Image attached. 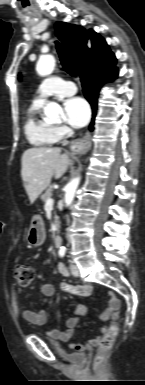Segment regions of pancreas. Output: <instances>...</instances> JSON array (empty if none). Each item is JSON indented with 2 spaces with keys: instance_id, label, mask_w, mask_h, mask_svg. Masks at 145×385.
I'll use <instances>...</instances> for the list:
<instances>
[{
  "instance_id": "pancreas-1",
  "label": "pancreas",
  "mask_w": 145,
  "mask_h": 385,
  "mask_svg": "<svg viewBox=\"0 0 145 385\" xmlns=\"http://www.w3.org/2000/svg\"><path fill=\"white\" fill-rule=\"evenodd\" d=\"M52 191V186L48 187L45 193L41 196V200L46 203V201L51 197Z\"/></svg>"
}]
</instances>
